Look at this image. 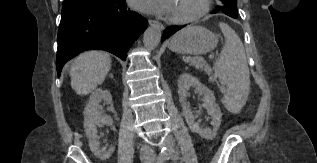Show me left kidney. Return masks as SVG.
I'll use <instances>...</instances> for the list:
<instances>
[{
	"label": "left kidney",
	"instance_id": "5707ae66",
	"mask_svg": "<svg viewBox=\"0 0 317 163\" xmlns=\"http://www.w3.org/2000/svg\"><path fill=\"white\" fill-rule=\"evenodd\" d=\"M193 87L195 91L203 95V107L207 109L208 114L211 116L212 121L210 128H201L199 122H196V115H194L190 108L187 106L186 97L188 96V90ZM178 95L179 100L182 105L183 115L185 117L186 123L189 128L198 133L202 138L211 140L213 139L221 124L222 113L215 101L214 94L206 86H204L197 78L194 76L183 73L178 79Z\"/></svg>",
	"mask_w": 317,
	"mask_h": 163
}]
</instances>
